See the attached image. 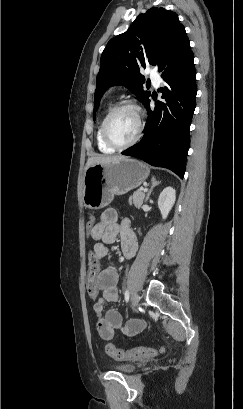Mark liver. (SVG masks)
<instances>
[{"label": "liver", "mask_w": 243, "mask_h": 409, "mask_svg": "<svg viewBox=\"0 0 243 409\" xmlns=\"http://www.w3.org/2000/svg\"><path fill=\"white\" fill-rule=\"evenodd\" d=\"M126 158L124 156L121 155H117V156H103V155H99V156H94L88 159L87 164H86V169L94 164H105V163H110V162H114L120 159Z\"/></svg>", "instance_id": "6515ba94"}]
</instances>
